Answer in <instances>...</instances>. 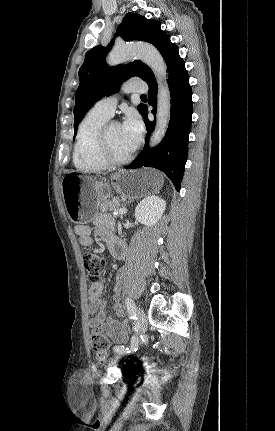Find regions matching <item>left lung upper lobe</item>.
I'll return each mask as SVG.
<instances>
[{
    "instance_id": "left-lung-upper-lobe-1",
    "label": "left lung upper lobe",
    "mask_w": 275,
    "mask_h": 431,
    "mask_svg": "<svg viewBox=\"0 0 275 431\" xmlns=\"http://www.w3.org/2000/svg\"><path fill=\"white\" fill-rule=\"evenodd\" d=\"M125 41L141 40L154 45L166 61L169 51L176 46L170 41L166 32L160 29L158 21L146 19L143 16L127 13L118 26L117 34ZM113 42L106 48L96 46L89 50L79 69L80 85L75 94L74 130L93 106L104 96L117 92L122 82L137 76L148 82L154 78L151 69L141 61H133L126 65L111 68L105 66L106 53L111 50ZM145 105L140 104L138 110L142 113Z\"/></svg>"
}]
</instances>
